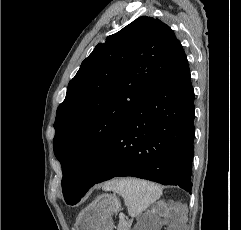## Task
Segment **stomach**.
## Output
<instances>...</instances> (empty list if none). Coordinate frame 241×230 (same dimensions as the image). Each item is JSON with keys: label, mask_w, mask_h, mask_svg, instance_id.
<instances>
[{"label": "stomach", "mask_w": 241, "mask_h": 230, "mask_svg": "<svg viewBox=\"0 0 241 230\" xmlns=\"http://www.w3.org/2000/svg\"><path fill=\"white\" fill-rule=\"evenodd\" d=\"M119 211L121 202L116 195H100L79 213L76 230H113L112 215Z\"/></svg>", "instance_id": "1"}]
</instances>
